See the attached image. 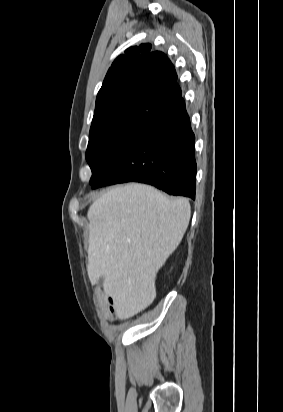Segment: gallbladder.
I'll use <instances>...</instances> for the list:
<instances>
[{
	"label": "gallbladder",
	"instance_id": "1",
	"mask_svg": "<svg viewBox=\"0 0 283 412\" xmlns=\"http://www.w3.org/2000/svg\"><path fill=\"white\" fill-rule=\"evenodd\" d=\"M103 282H104V278L100 277L97 281V285L101 287V286H103Z\"/></svg>",
	"mask_w": 283,
	"mask_h": 412
}]
</instances>
